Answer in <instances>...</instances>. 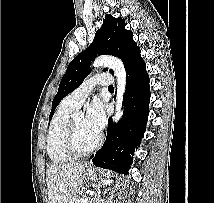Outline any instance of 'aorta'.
Instances as JSON below:
<instances>
[{"mask_svg": "<svg viewBox=\"0 0 214 203\" xmlns=\"http://www.w3.org/2000/svg\"><path fill=\"white\" fill-rule=\"evenodd\" d=\"M94 68L102 66L108 67L114 71L117 79V96L115 114L113 116V122L118 123L123 115L122 103L126 89V70L123 62L114 56H100L96 58L92 64Z\"/></svg>", "mask_w": 214, "mask_h": 203, "instance_id": "762f6f07", "label": "aorta"}]
</instances>
